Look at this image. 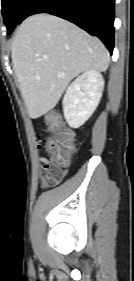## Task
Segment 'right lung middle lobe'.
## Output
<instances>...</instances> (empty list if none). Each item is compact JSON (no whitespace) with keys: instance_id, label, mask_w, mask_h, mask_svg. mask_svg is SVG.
Returning <instances> with one entry per match:
<instances>
[{"instance_id":"dd1d6c3e","label":"right lung middle lobe","mask_w":134,"mask_h":281,"mask_svg":"<svg viewBox=\"0 0 134 281\" xmlns=\"http://www.w3.org/2000/svg\"><path fill=\"white\" fill-rule=\"evenodd\" d=\"M31 0H2V14L4 23L10 34L15 26L22 22L24 10Z\"/></svg>"}]
</instances>
